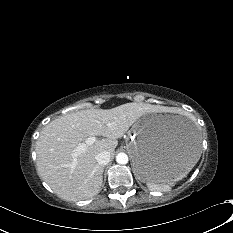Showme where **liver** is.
<instances>
[{"mask_svg": "<svg viewBox=\"0 0 233 233\" xmlns=\"http://www.w3.org/2000/svg\"><path fill=\"white\" fill-rule=\"evenodd\" d=\"M164 111L150 104L126 103L112 109L80 110L53 120L36 142L38 175L64 200L94 197L101 190L104 170L95 156L101 151L114 155L117 139L139 118ZM90 136L105 138L75 156L76 147Z\"/></svg>", "mask_w": 233, "mask_h": 233, "instance_id": "1", "label": "liver"}]
</instances>
